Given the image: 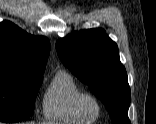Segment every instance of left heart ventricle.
<instances>
[{
	"instance_id": "obj_1",
	"label": "left heart ventricle",
	"mask_w": 156,
	"mask_h": 124,
	"mask_svg": "<svg viewBox=\"0 0 156 124\" xmlns=\"http://www.w3.org/2000/svg\"><path fill=\"white\" fill-rule=\"evenodd\" d=\"M87 110H88V113H89L90 115H95V114L97 113V107H96V105H95L93 102H91V101H89V102L87 103Z\"/></svg>"
}]
</instances>
